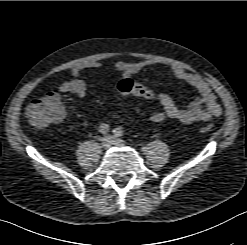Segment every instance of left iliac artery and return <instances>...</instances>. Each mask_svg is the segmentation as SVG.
<instances>
[{
    "mask_svg": "<svg viewBox=\"0 0 247 245\" xmlns=\"http://www.w3.org/2000/svg\"><path fill=\"white\" fill-rule=\"evenodd\" d=\"M113 133H114V135L115 136H122L123 135V130H122V128H120V127H118V128H115L114 130H113Z\"/></svg>",
    "mask_w": 247,
    "mask_h": 245,
    "instance_id": "44dca946",
    "label": "left iliac artery"
}]
</instances>
